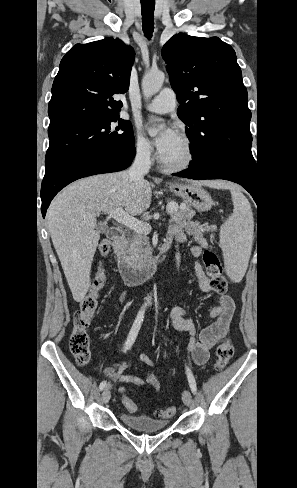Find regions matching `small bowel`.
<instances>
[{"label": "small bowel", "mask_w": 297, "mask_h": 488, "mask_svg": "<svg viewBox=\"0 0 297 488\" xmlns=\"http://www.w3.org/2000/svg\"><path fill=\"white\" fill-rule=\"evenodd\" d=\"M187 241L188 237L182 228L178 226L169 228L164 244L169 246V248L172 246L175 248V262L177 268L180 267L181 262L178 247L180 244L186 243ZM190 254L195 259L199 258L202 254V247L199 245L192 246L190 248ZM194 269L200 290L204 293L212 291L210 280L204 273L202 266L198 261L195 262ZM124 301L125 296H122L120 303H124ZM234 308L235 306L232 298L227 294H221L218 304L210 310V318L213 322L203 329L199 335H197L196 324L189 316L187 309L183 306L172 308L170 312L171 325L177 330L185 331L190 334L188 353L192 356L197 365H203L207 362L210 350L218 344L224 336L225 330L232 319ZM139 359L146 366H157V363L146 354H141ZM125 369L126 366H122L118 370H115L112 367L104 368L103 375L109 380V388L112 383L122 381L134 383L139 387H144L147 383L152 389L159 391L160 385L151 372L145 371V378L142 379L136 375L126 374ZM121 391L127 392V388L121 386L118 389V393L120 394Z\"/></svg>", "instance_id": "c3829d8e"}]
</instances>
